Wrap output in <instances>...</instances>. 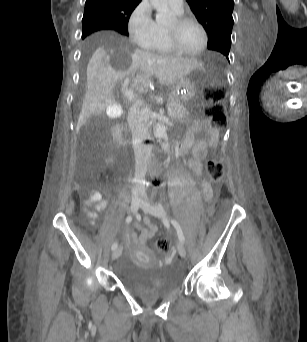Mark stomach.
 I'll return each mask as SVG.
<instances>
[{
    "instance_id": "stomach-1",
    "label": "stomach",
    "mask_w": 307,
    "mask_h": 342,
    "mask_svg": "<svg viewBox=\"0 0 307 342\" xmlns=\"http://www.w3.org/2000/svg\"><path fill=\"white\" fill-rule=\"evenodd\" d=\"M201 74V69L196 68L174 84L173 94L177 96L182 103H189L195 97Z\"/></svg>"
}]
</instances>
